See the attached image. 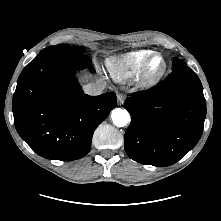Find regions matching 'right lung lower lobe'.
<instances>
[{
	"instance_id": "1",
	"label": "right lung lower lobe",
	"mask_w": 221,
	"mask_h": 221,
	"mask_svg": "<svg viewBox=\"0 0 221 221\" xmlns=\"http://www.w3.org/2000/svg\"><path fill=\"white\" fill-rule=\"evenodd\" d=\"M89 67L84 54H38L21 72L13 96L14 123L40 156L61 161L84 157L97 126L116 107V95L84 94L75 72Z\"/></svg>"
}]
</instances>
